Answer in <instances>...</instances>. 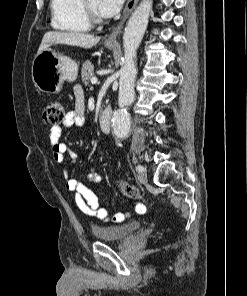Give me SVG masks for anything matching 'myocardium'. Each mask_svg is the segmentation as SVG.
I'll use <instances>...</instances> for the list:
<instances>
[{"label": "myocardium", "instance_id": "1", "mask_svg": "<svg viewBox=\"0 0 247 296\" xmlns=\"http://www.w3.org/2000/svg\"><path fill=\"white\" fill-rule=\"evenodd\" d=\"M82 9L89 23L99 24L103 22L102 17L93 8L90 7L88 0H82Z\"/></svg>", "mask_w": 247, "mask_h": 296}]
</instances>
